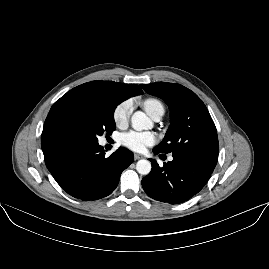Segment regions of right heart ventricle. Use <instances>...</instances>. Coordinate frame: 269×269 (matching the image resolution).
<instances>
[{
    "mask_svg": "<svg viewBox=\"0 0 269 269\" xmlns=\"http://www.w3.org/2000/svg\"><path fill=\"white\" fill-rule=\"evenodd\" d=\"M160 106H162V104L154 98H148L143 102V107L150 116Z\"/></svg>",
    "mask_w": 269,
    "mask_h": 269,
    "instance_id": "right-heart-ventricle-1",
    "label": "right heart ventricle"
}]
</instances>
